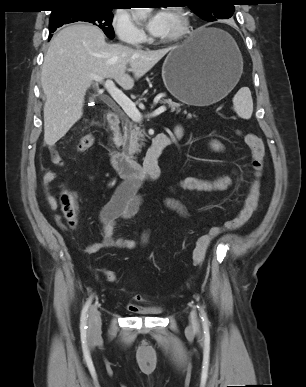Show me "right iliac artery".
<instances>
[{
    "label": "right iliac artery",
    "mask_w": 306,
    "mask_h": 387,
    "mask_svg": "<svg viewBox=\"0 0 306 387\" xmlns=\"http://www.w3.org/2000/svg\"><path fill=\"white\" fill-rule=\"evenodd\" d=\"M91 300H92V298H90V299L86 302L84 308L82 309V313H81V325H80V326H81V329H86V328H87V326H86L87 318H88L87 312H88V307H89V305H90V303H91Z\"/></svg>",
    "instance_id": "obj_1"
}]
</instances>
